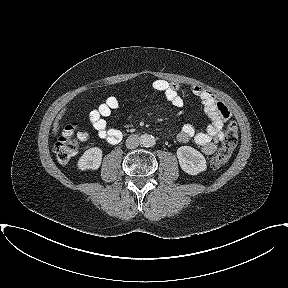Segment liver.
Listing matches in <instances>:
<instances>
[{"instance_id":"6515ba94","label":"liver","mask_w":288,"mask_h":288,"mask_svg":"<svg viewBox=\"0 0 288 288\" xmlns=\"http://www.w3.org/2000/svg\"><path fill=\"white\" fill-rule=\"evenodd\" d=\"M64 111H65V109L62 110V111L57 115V117H56V119H55V122H54V124H53V132H54V134H56V133L58 132V126H59L58 121L62 118V116H63V114H64Z\"/></svg>"}]
</instances>
